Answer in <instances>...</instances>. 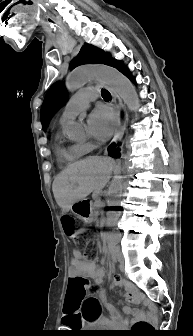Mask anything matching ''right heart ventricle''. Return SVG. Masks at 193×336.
Wrapping results in <instances>:
<instances>
[{"label":"right heart ventricle","mask_w":193,"mask_h":336,"mask_svg":"<svg viewBox=\"0 0 193 336\" xmlns=\"http://www.w3.org/2000/svg\"><path fill=\"white\" fill-rule=\"evenodd\" d=\"M87 152L82 143L65 144L59 136H57L56 154L60 162L73 163L81 159Z\"/></svg>","instance_id":"right-heart-ventricle-1"}]
</instances>
